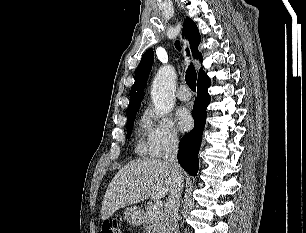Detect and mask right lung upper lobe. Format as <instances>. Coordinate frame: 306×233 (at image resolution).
I'll list each match as a JSON object with an SVG mask.
<instances>
[{
	"label": "right lung upper lobe",
	"mask_w": 306,
	"mask_h": 233,
	"mask_svg": "<svg viewBox=\"0 0 306 233\" xmlns=\"http://www.w3.org/2000/svg\"><path fill=\"white\" fill-rule=\"evenodd\" d=\"M183 36H185L190 44L192 55L194 58L202 61V55L198 52V45L201 40L196 24L190 19L186 18L184 21ZM175 47L180 49L179 42L175 43ZM154 62L153 50H147L142 56L141 62L137 67L135 74V82L130 91V102L127 108V116L137 112L140 108L141 101L144 98V89L147 84L148 75ZM203 69L199 70L198 77L204 75Z\"/></svg>",
	"instance_id": "cb5924a9"
}]
</instances>
